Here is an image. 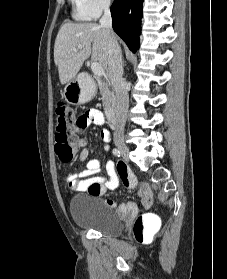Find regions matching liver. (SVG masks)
Instances as JSON below:
<instances>
[{
    "instance_id": "1",
    "label": "liver",
    "mask_w": 227,
    "mask_h": 279,
    "mask_svg": "<svg viewBox=\"0 0 227 279\" xmlns=\"http://www.w3.org/2000/svg\"><path fill=\"white\" fill-rule=\"evenodd\" d=\"M107 41V30L101 25L64 23L60 27L54 45V62L58 67L61 84L73 79L82 68L84 61L90 56L93 62H98L106 68L108 65ZM78 45H83L84 48L77 49Z\"/></svg>"
}]
</instances>
